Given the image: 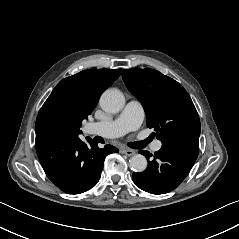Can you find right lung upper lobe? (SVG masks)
Segmentation results:
<instances>
[{"label": "right lung upper lobe", "mask_w": 239, "mask_h": 239, "mask_svg": "<svg viewBox=\"0 0 239 239\" xmlns=\"http://www.w3.org/2000/svg\"><path fill=\"white\" fill-rule=\"evenodd\" d=\"M121 69H90L61 80L43 104L36 119V136L47 132L46 114L56 107H69L90 115L101 92L120 75Z\"/></svg>", "instance_id": "obj_1"}]
</instances>
